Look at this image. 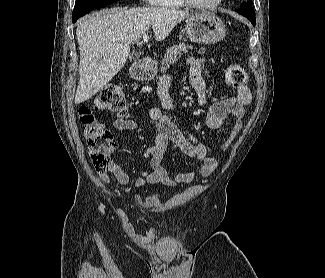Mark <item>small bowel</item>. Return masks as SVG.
<instances>
[{"instance_id":"small-bowel-1","label":"small bowel","mask_w":325,"mask_h":278,"mask_svg":"<svg viewBox=\"0 0 325 278\" xmlns=\"http://www.w3.org/2000/svg\"><path fill=\"white\" fill-rule=\"evenodd\" d=\"M203 62L204 59L202 58L189 57L187 59L190 84L195 91L197 104L205 110L206 123L210 128H219L231 116L236 119L234 126L221 145L223 150H227L242 127V118L245 115L246 107L251 102L252 94L247 85H242L236 88L234 96L208 105L206 83L201 75ZM170 81V77H164L160 80L158 97L162 108H152L148 114V122L156 131L155 144L144 153L142 177L135 181L137 187H143L146 184L174 186L178 183H189L195 179L196 171L175 172L164 166L163 161L169 142L172 143L173 148L180 149L199 162L198 172L203 177L211 175L217 166V161L208 155L206 146L199 142L193 134L183 130L170 114L177 109L175 102L169 95ZM140 126V121L135 118L117 119L113 122V128L120 132L135 131ZM112 177L123 186L130 182L128 173L116 161H111L109 169L100 174L101 180L105 183L110 182Z\"/></svg>"}]
</instances>
